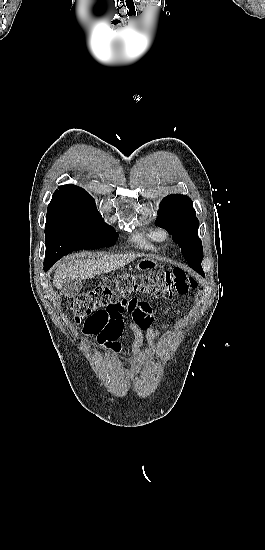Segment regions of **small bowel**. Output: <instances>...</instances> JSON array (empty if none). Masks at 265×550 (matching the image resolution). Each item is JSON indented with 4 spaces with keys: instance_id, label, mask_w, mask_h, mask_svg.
<instances>
[{
    "instance_id": "1",
    "label": "small bowel",
    "mask_w": 265,
    "mask_h": 550,
    "mask_svg": "<svg viewBox=\"0 0 265 550\" xmlns=\"http://www.w3.org/2000/svg\"><path fill=\"white\" fill-rule=\"evenodd\" d=\"M135 312L141 314L142 317L145 318V320H151V321L153 320L152 316L150 315L151 314L150 313V308H149L148 304H146L144 302L142 303V305ZM114 322L118 325V328L116 329L115 337H113L112 339H105V340H109V342L107 344L108 348L114 354H119L121 352V345L117 341V339L121 336L124 329L130 331L133 335L134 341H133L132 350H131L133 356L137 357V356L140 355L141 345H142V342H143L144 339H146V341H147V346L149 348L152 347L153 340L155 338V331L152 327V323H150L149 325H147L145 327H139L136 324H127L126 326H122L121 325V318L116 319ZM83 334L85 336L94 335L87 327L83 328Z\"/></svg>"
}]
</instances>
